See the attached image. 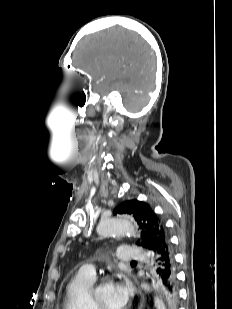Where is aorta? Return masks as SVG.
I'll return each mask as SVG.
<instances>
[{
  "instance_id": "762f6f07",
  "label": "aorta",
  "mask_w": 232,
  "mask_h": 309,
  "mask_svg": "<svg viewBox=\"0 0 232 309\" xmlns=\"http://www.w3.org/2000/svg\"><path fill=\"white\" fill-rule=\"evenodd\" d=\"M98 231L103 236L132 235L135 233V225L127 217H114L102 221ZM154 305L156 309H166L164 302L158 296L154 298Z\"/></svg>"
}]
</instances>
